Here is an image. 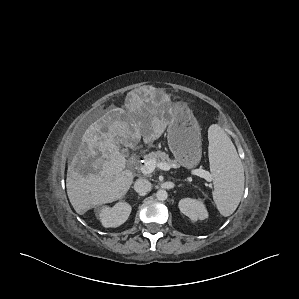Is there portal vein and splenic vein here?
I'll return each instance as SVG.
<instances>
[{
	"label": "portal vein and splenic vein",
	"instance_id": "obj_1",
	"mask_svg": "<svg viewBox=\"0 0 299 299\" xmlns=\"http://www.w3.org/2000/svg\"><path fill=\"white\" fill-rule=\"evenodd\" d=\"M156 167H158L162 170H169L170 169V166L166 163H162V162L157 163L155 160H150V161L146 162L141 167V171L144 174H150L155 170ZM192 174L196 175V176H199L201 178H204L209 182L212 180L211 174L209 172L205 171V170H202V169H195V170L192 171Z\"/></svg>",
	"mask_w": 299,
	"mask_h": 299
}]
</instances>
